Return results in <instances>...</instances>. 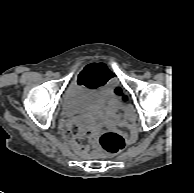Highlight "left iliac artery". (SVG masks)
Returning <instances> with one entry per match:
<instances>
[{"mask_svg":"<svg viewBox=\"0 0 194 193\" xmlns=\"http://www.w3.org/2000/svg\"><path fill=\"white\" fill-rule=\"evenodd\" d=\"M146 77H150V73H146Z\"/></svg>","mask_w":194,"mask_h":193,"instance_id":"left-iliac-artery-1","label":"left iliac artery"}]
</instances>
